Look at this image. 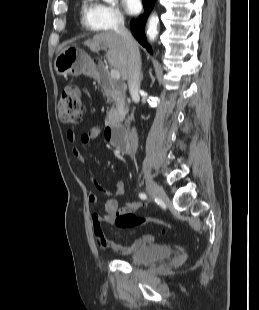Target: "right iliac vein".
<instances>
[{
  "label": "right iliac vein",
  "instance_id": "right-iliac-vein-1",
  "mask_svg": "<svg viewBox=\"0 0 259 310\" xmlns=\"http://www.w3.org/2000/svg\"><path fill=\"white\" fill-rule=\"evenodd\" d=\"M146 186L153 197H159L163 200L166 199V194L164 190L152 179H146Z\"/></svg>",
  "mask_w": 259,
  "mask_h": 310
}]
</instances>
